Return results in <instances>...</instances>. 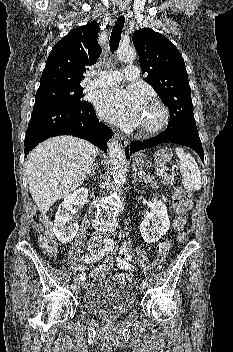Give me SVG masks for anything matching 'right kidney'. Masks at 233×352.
Listing matches in <instances>:
<instances>
[{
  "label": "right kidney",
  "instance_id": "obj_1",
  "mask_svg": "<svg viewBox=\"0 0 233 352\" xmlns=\"http://www.w3.org/2000/svg\"><path fill=\"white\" fill-rule=\"evenodd\" d=\"M88 197V189L82 187L68 194L56 213L53 232L61 243H68L73 240L78 232V223H70L69 211L74 203L84 205ZM66 224L69 226L66 228Z\"/></svg>",
  "mask_w": 233,
  "mask_h": 352
}]
</instances>
